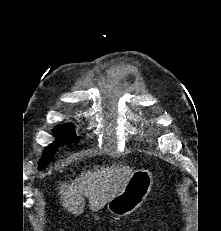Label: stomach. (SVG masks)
Wrapping results in <instances>:
<instances>
[{"mask_svg": "<svg viewBox=\"0 0 221 231\" xmlns=\"http://www.w3.org/2000/svg\"><path fill=\"white\" fill-rule=\"evenodd\" d=\"M153 185V176L149 170H136L122 191L109 200L107 209L122 217L134 212L147 198Z\"/></svg>", "mask_w": 221, "mask_h": 231, "instance_id": "0dacf381", "label": "stomach"}]
</instances>
